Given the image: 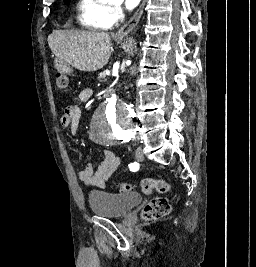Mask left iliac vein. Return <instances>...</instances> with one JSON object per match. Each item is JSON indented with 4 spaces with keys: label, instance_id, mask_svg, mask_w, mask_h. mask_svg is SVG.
<instances>
[{
    "label": "left iliac vein",
    "instance_id": "4c4485c4",
    "mask_svg": "<svg viewBox=\"0 0 256 267\" xmlns=\"http://www.w3.org/2000/svg\"><path fill=\"white\" fill-rule=\"evenodd\" d=\"M135 157L138 161H143L144 160V154H143V151L140 147H138L136 149V152H135Z\"/></svg>",
    "mask_w": 256,
    "mask_h": 267
}]
</instances>
